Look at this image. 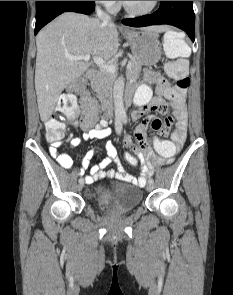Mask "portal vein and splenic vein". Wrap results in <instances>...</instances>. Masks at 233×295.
Instances as JSON below:
<instances>
[{
  "label": "portal vein and splenic vein",
  "instance_id": "portal-vein-and-splenic-vein-1",
  "mask_svg": "<svg viewBox=\"0 0 233 295\" xmlns=\"http://www.w3.org/2000/svg\"><path fill=\"white\" fill-rule=\"evenodd\" d=\"M66 58L73 61L83 60L84 62H88L91 58V55H81V56H73V55H66ZM94 62L102 69L114 73L116 71V65L112 63L105 62L101 57L93 56L92 57ZM132 63L129 62L127 65V69L131 68Z\"/></svg>",
  "mask_w": 233,
  "mask_h": 295
}]
</instances>
